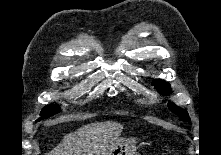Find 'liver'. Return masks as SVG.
Returning a JSON list of instances; mask_svg holds the SVG:
<instances>
[{"label":"liver","mask_w":221,"mask_h":155,"mask_svg":"<svg viewBox=\"0 0 221 155\" xmlns=\"http://www.w3.org/2000/svg\"><path fill=\"white\" fill-rule=\"evenodd\" d=\"M122 130L123 125L113 121L84 125L65 135L47 155H107Z\"/></svg>","instance_id":"liver-1"}]
</instances>
